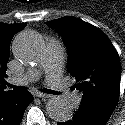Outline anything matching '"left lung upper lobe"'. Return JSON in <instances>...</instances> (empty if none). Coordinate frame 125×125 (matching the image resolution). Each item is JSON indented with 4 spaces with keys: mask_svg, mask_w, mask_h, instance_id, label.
<instances>
[{
    "mask_svg": "<svg viewBox=\"0 0 125 125\" xmlns=\"http://www.w3.org/2000/svg\"><path fill=\"white\" fill-rule=\"evenodd\" d=\"M65 39L68 71L82 92L81 105L113 112L120 90V58L109 38L99 28L75 17L48 21Z\"/></svg>",
    "mask_w": 125,
    "mask_h": 125,
    "instance_id": "5c2ea615",
    "label": "left lung upper lobe"
}]
</instances>
